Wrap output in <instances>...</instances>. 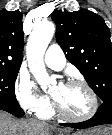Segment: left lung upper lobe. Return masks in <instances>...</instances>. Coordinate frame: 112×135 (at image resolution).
Masks as SVG:
<instances>
[{
    "mask_svg": "<svg viewBox=\"0 0 112 135\" xmlns=\"http://www.w3.org/2000/svg\"><path fill=\"white\" fill-rule=\"evenodd\" d=\"M56 40L104 102L112 100V42L103 18L92 11L55 10Z\"/></svg>",
    "mask_w": 112,
    "mask_h": 135,
    "instance_id": "obj_1",
    "label": "left lung upper lobe"
}]
</instances>
